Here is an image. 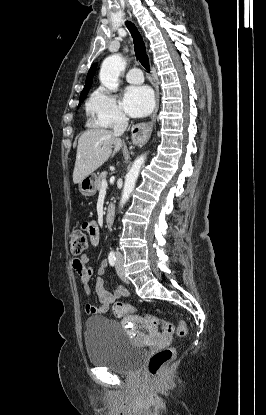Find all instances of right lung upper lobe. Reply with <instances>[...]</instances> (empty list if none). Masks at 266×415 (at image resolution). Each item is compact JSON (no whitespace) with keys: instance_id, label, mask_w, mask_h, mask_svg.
<instances>
[{"instance_id":"right-lung-upper-lobe-1","label":"right lung upper lobe","mask_w":266,"mask_h":415,"mask_svg":"<svg viewBox=\"0 0 266 415\" xmlns=\"http://www.w3.org/2000/svg\"><path fill=\"white\" fill-rule=\"evenodd\" d=\"M96 67H97L96 63L91 66V68L89 70V73L87 75V79H86L84 89L82 90L80 97L87 95V92L89 91V89L91 87V84H92L93 76L96 72Z\"/></svg>"}]
</instances>
